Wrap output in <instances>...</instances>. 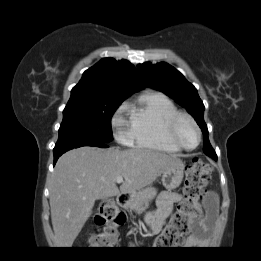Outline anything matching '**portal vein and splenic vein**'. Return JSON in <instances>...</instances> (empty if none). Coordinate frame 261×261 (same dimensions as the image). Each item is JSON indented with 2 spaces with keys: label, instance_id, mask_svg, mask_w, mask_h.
I'll return each mask as SVG.
<instances>
[{
  "label": "portal vein and splenic vein",
  "instance_id": "obj_1",
  "mask_svg": "<svg viewBox=\"0 0 261 261\" xmlns=\"http://www.w3.org/2000/svg\"><path fill=\"white\" fill-rule=\"evenodd\" d=\"M116 182L119 184V183H122L123 182V177H118L116 179Z\"/></svg>",
  "mask_w": 261,
  "mask_h": 261
}]
</instances>
